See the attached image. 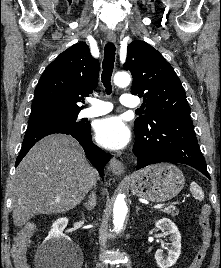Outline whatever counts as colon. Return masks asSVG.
<instances>
[{
	"label": "colon",
	"instance_id": "colon-1",
	"mask_svg": "<svg viewBox=\"0 0 221 268\" xmlns=\"http://www.w3.org/2000/svg\"><path fill=\"white\" fill-rule=\"evenodd\" d=\"M199 225L202 229L203 242L200 250L191 262L189 268L201 267L212 240L213 233L211 226V208L207 204L203 205L201 208L199 216ZM35 232L36 226L34 224H28L24 226L18 233L13 247V259L16 268H30L27 262V248Z\"/></svg>",
	"mask_w": 221,
	"mask_h": 268
}]
</instances>
